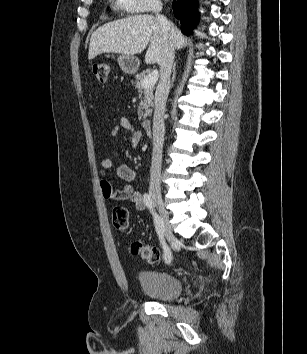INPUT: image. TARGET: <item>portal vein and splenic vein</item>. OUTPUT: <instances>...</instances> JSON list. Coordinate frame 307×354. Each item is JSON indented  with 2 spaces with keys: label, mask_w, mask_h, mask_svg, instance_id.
Returning a JSON list of instances; mask_svg holds the SVG:
<instances>
[{
  "label": "portal vein and splenic vein",
  "mask_w": 307,
  "mask_h": 354,
  "mask_svg": "<svg viewBox=\"0 0 307 354\" xmlns=\"http://www.w3.org/2000/svg\"><path fill=\"white\" fill-rule=\"evenodd\" d=\"M158 71L157 70H153L152 73H150L149 75H147L144 80L142 81V87L143 88H149L151 86H153L157 80H158Z\"/></svg>",
  "instance_id": "portal-vein-and-splenic-vein-1"
}]
</instances>
